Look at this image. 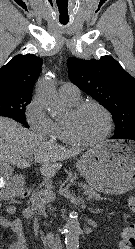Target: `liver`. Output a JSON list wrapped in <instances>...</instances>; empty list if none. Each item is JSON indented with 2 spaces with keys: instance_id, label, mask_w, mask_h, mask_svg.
Listing matches in <instances>:
<instances>
[{
  "instance_id": "obj_1",
  "label": "liver",
  "mask_w": 135,
  "mask_h": 249,
  "mask_svg": "<svg viewBox=\"0 0 135 249\" xmlns=\"http://www.w3.org/2000/svg\"><path fill=\"white\" fill-rule=\"evenodd\" d=\"M79 153L30 132L10 118L0 117V162L4 165L27 168L31 165L27 159L34 158L41 164V174L50 178L60 170L61 161ZM1 185L4 183L0 180Z\"/></svg>"
}]
</instances>
